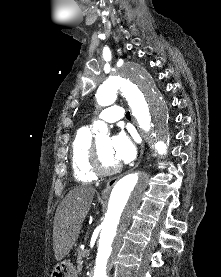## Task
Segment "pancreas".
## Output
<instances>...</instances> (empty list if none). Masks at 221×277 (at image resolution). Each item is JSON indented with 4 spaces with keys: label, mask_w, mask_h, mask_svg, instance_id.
I'll return each instance as SVG.
<instances>
[{
    "label": "pancreas",
    "mask_w": 221,
    "mask_h": 277,
    "mask_svg": "<svg viewBox=\"0 0 221 277\" xmlns=\"http://www.w3.org/2000/svg\"><path fill=\"white\" fill-rule=\"evenodd\" d=\"M88 254L87 250H80L78 252V256H77V264H78V269L81 270L82 268V262H83V258L86 257Z\"/></svg>",
    "instance_id": "pancreas-1"
}]
</instances>
